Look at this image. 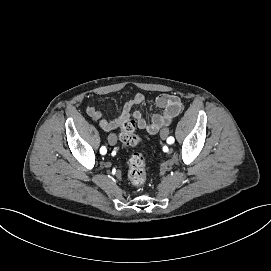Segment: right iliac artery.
<instances>
[{
	"mask_svg": "<svg viewBox=\"0 0 271 271\" xmlns=\"http://www.w3.org/2000/svg\"><path fill=\"white\" fill-rule=\"evenodd\" d=\"M100 155H102V156H104V155H106V153H107V150H106V147H101V149H100Z\"/></svg>",
	"mask_w": 271,
	"mask_h": 271,
	"instance_id": "obj_1",
	"label": "right iliac artery"
}]
</instances>
